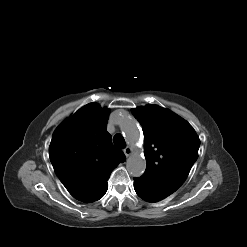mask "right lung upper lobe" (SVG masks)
Returning a JSON list of instances; mask_svg holds the SVG:
<instances>
[{"instance_id":"right-lung-upper-lobe-1","label":"right lung upper lobe","mask_w":247,"mask_h":247,"mask_svg":"<svg viewBox=\"0 0 247 247\" xmlns=\"http://www.w3.org/2000/svg\"><path fill=\"white\" fill-rule=\"evenodd\" d=\"M109 109L90 103L54 131L49 147L53 168L69 193L92 202L108 185L111 172L126 160L107 132Z\"/></svg>"}]
</instances>
